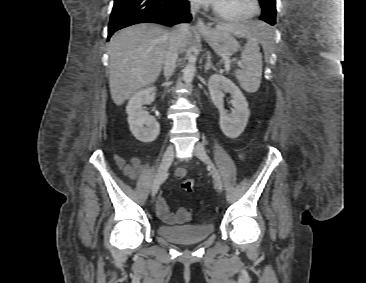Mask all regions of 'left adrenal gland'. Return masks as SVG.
Masks as SVG:
<instances>
[{
  "label": "left adrenal gland",
  "instance_id": "obj_1",
  "mask_svg": "<svg viewBox=\"0 0 366 283\" xmlns=\"http://www.w3.org/2000/svg\"><path fill=\"white\" fill-rule=\"evenodd\" d=\"M210 69H213L214 71H216V68L211 63V57H210V55H208L206 65L204 67L205 73H207Z\"/></svg>",
  "mask_w": 366,
  "mask_h": 283
}]
</instances>
